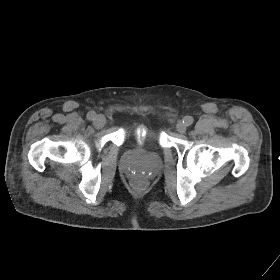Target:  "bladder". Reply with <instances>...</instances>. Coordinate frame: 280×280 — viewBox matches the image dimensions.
Returning <instances> with one entry per match:
<instances>
[{
	"instance_id": "31cf9c89",
	"label": "bladder",
	"mask_w": 280,
	"mask_h": 280,
	"mask_svg": "<svg viewBox=\"0 0 280 280\" xmlns=\"http://www.w3.org/2000/svg\"><path fill=\"white\" fill-rule=\"evenodd\" d=\"M130 134H133L134 136H140L142 139H145L152 143H156L159 139L157 131L149 128L145 129L144 132L141 131L139 134H137L136 132H130Z\"/></svg>"
}]
</instances>
